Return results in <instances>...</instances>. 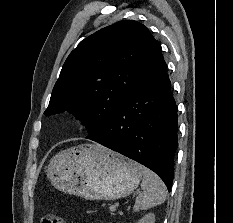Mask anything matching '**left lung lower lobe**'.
Listing matches in <instances>:
<instances>
[{"mask_svg": "<svg viewBox=\"0 0 233 223\" xmlns=\"http://www.w3.org/2000/svg\"><path fill=\"white\" fill-rule=\"evenodd\" d=\"M166 63L158 51L136 89L108 124L90 138L158 174L171 190L177 109Z\"/></svg>", "mask_w": 233, "mask_h": 223, "instance_id": "obj_1", "label": "left lung lower lobe"}]
</instances>
